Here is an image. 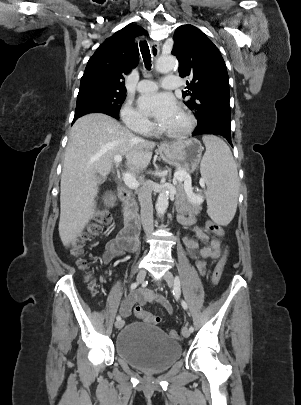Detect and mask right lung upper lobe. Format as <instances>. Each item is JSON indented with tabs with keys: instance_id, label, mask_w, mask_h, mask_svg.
Returning a JSON list of instances; mask_svg holds the SVG:
<instances>
[{
	"instance_id": "right-lung-upper-lobe-1",
	"label": "right lung upper lobe",
	"mask_w": 301,
	"mask_h": 405,
	"mask_svg": "<svg viewBox=\"0 0 301 405\" xmlns=\"http://www.w3.org/2000/svg\"><path fill=\"white\" fill-rule=\"evenodd\" d=\"M139 35L148 33L137 25H127L107 38L89 59L81 78L79 93H126L122 80L136 66L139 51L134 39Z\"/></svg>"
}]
</instances>
